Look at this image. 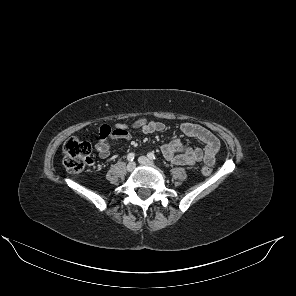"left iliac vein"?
Wrapping results in <instances>:
<instances>
[{
    "label": "left iliac vein",
    "instance_id": "1",
    "mask_svg": "<svg viewBox=\"0 0 296 296\" xmlns=\"http://www.w3.org/2000/svg\"><path fill=\"white\" fill-rule=\"evenodd\" d=\"M138 162L142 165H147V166H153V162L150 161L148 158H146L145 156H140L138 158Z\"/></svg>",
    "mask_w": 296,
    "mask_h": 296
}]
</instances>
